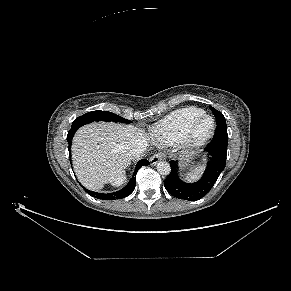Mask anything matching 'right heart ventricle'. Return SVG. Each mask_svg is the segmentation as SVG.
Instances as JSON below:
<instances>
[{
  "label": "right heart ventricle",
  "mask_w": 291,
  "mask_h": 291,
  "mask_svg": "<svg viewBox=\"0 0 291 291\" xmlns=\"http://www.w3.org/2000/svg\"><path fill=\"white\" fill-rule=\"evenodd\" d=\"M205 114L196 107H186L171 112L151 128L152 137L162 144L180 141L192 123Z\"/></svg>",
  "instance_id": "obj_1"
}]
</instances>
